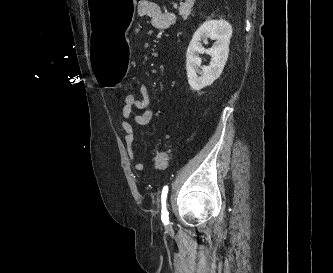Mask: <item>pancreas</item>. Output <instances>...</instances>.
Wrapping results in <instances>:
<instances>
[{
  "label": "pancreas",
  "instance_id": "obj_1",
  "mask_svg": "<svg viewBox=\"0 0 333 273\" xmlns=\"http://www.w3.org/2000/svg\"><path fill=\"white\" fill-rule=\"evenodd\" d=\"M194 0H186L185 2L180 3L179 15L182 16L184 20L188 18L192 11Z\"/></svg>",
  "mask_w": 333,
  "mask_h": 273
}]
</instances>
